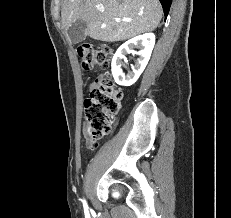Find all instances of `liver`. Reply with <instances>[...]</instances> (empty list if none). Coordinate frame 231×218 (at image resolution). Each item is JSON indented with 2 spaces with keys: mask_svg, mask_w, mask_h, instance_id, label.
I'll return each instance as SVG.
<instances>
[{
  "mask_svg": "<svg viewBox=\"0 0 231 218\" xmlns=\"http://www.w3.org/2000/svg\"><path fill=\"white\" fill-rule=\"evenodd\" d=\"M101 5L104 11L97 10ZM158 0H64L61 10L63 28L77 20H85V35L104 42L127 40L153 31L162 18ZM118 18L121 21L116 22ZM130 19L129 22L123 21Z\"/></svg>",
  "mask_w": 231,
  "mask_h": 218,
  "instance_id": "obj_1",
  "label": "liver"
}]
</instances>
